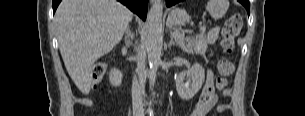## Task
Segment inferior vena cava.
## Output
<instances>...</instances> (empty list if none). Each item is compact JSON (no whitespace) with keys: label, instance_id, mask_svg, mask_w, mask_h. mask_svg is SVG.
I'll return each instance as SVG.
<instances>
[{"label":"inferior vena cava","instance_id":"602c4592","mask_svg":"<svg viewBox=\"0 0 305 116\" xmlns=\"http://www.w3.org/2000/svg\"><path fill=\"white\" fill-rule=\"evenodd\" d=\"M142 90L136 77L132 84V104L134 116H144V108L142 103Z\"/></svg>","mask_w":305,"mask_h":116}]
</instances>
